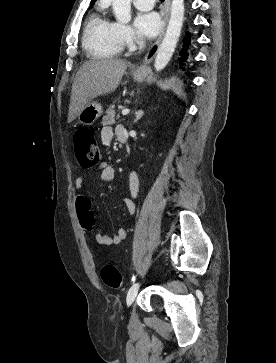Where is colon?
Instances as JSON below:
<instances>
[{
  "instance_id": "1",
  "label": "colon",
  "mask_w": 276,
  "mask_h": 363,
  "mask_svg": "<svg viewBox=\"0 0 276 363\" xmlns=\"http://www.w3.org/2000/svg\"><path fill=\"white\" fill-rule=\"evenodd\" d=\"M74 152L78 162L84 168H91L99 163L101 152L93 131L82 128L75 132ZM80 223L83 228L90 226V223L84 220L83 213H80ZM100 276L102 281L110 288L118 289L123 284L120 272L113 265H103L100 269Z\"/></svg>"
}]
</instances>
